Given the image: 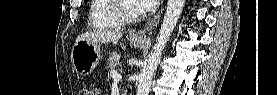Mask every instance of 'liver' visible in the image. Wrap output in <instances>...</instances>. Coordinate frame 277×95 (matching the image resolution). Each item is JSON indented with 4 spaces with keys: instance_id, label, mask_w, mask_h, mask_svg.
<instances>
[{
    "instance_id": "obj_1",
    "label": "liver",
    "mask_w": 277,
    "mask_h": 95,
    "mask_svg": "<svg viewBox=\"0 0 277 95\" xmlns=\"http://www.w3.org/2000/svg\"><path fill=\"white\" fill-rule=\"evenodd\" d=\"M122 32H108V31H91L79 35L77 41L86 40L93 43H110L117 42L121 37Z\"/></svg>"
}]
</instances>
